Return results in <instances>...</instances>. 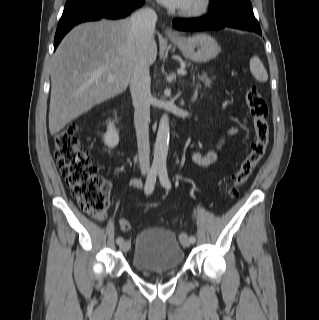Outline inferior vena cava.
I'll return each instance as SVG.
<instances>
[{
	"label": "inferior vena cava",
	"mask_w": 319,
	"mask_h": 320,
	"mask_svg": "<svg viewBox=\"0 0 319 320\" xmlns=\"http://www.w3.org/2000/svg\"><path fill=\"white\" fill-rule=\"evenodd\" d=\"M157 15L150 8L136 11L130 18V32L140 48L153 39ZM150 73L146 57L142 55L136 59L130 78V91L132 95L134 112V124L137 135L138 157L140 169L143 174L150 171Z\"/></svg>",
	"instance_id": "obj_1"
}]
</instances>
